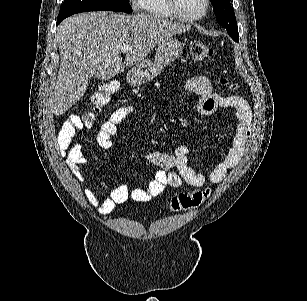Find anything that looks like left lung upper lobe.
<instances>
[{
	"instance_id": "5c2ea615",
	"label": "left lung upper lobe",
	"mask_w": 307,
	"mask_h": 301,
	"mask_svg": "<svg viewBox=\"0 0 307 301\" xmlns=\"http://www.w3.org/2000/svg\"><path fill=\"white\" fill-rule=\"evenodd\" d=\"M218 23L227 30V33L236 42L239 41L238 27L230 0H210Z\"/></svg>"
}]
</instances>
